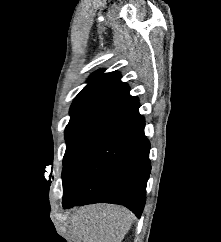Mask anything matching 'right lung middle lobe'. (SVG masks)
Masks as SVG:
<instances>
[{
  "mask_svg": "<svg viewBox=\"0 0 221 242\" xmlns=\"http://www.w3.org/2000/svg\"><path fill=\"white\" fill-rule=\"evenodd\" d=\"M98 124H80L67 126L65 129V139L67 143L64 159L63 170H66L70 159L75 154L80 145L89 137V135L99 127Z\"/></svg>",
  "mask_w": 221,
  "mask_h": 242,
  "instance_id": "obj_1",
  "label": "right lung middle lobe"
}]
</instances>
